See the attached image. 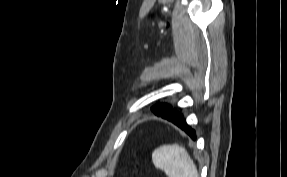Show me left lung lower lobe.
Returning a JSON list of instances; mask_svg holds the SVG:
<instances>
[{"label": "left lung lower lobe", "instance_id": "0a47b994", "mask_svg": "<svg viewBox=\"0 0 287 177\" xmlns=\"http://www.w3.org/2000/svg\"><path fill=\"white\" fill-rule=\"evenodd\" d=\"M162 117V116H161ZM165 118L171 122H173L175 125L180 127L183 131H185L193 140H196V134L193 129H191L187 124L186 121L184 120L183 116L180 115L179 113L169 115L162 117Z\"/></svg>", "mask_w": 287, "mask_h": 177}]
</instances>
